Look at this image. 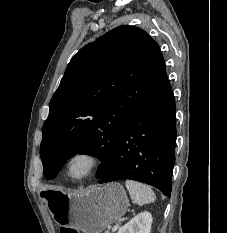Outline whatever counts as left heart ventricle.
I'll use <instances>...</instances> for the list:
<instances>
[{
  "mask_svg": "<svg viewBox=\"0 0 227 233\" xmlns=\"http://www.w3.org/2000/svg\"><path fill=\"white\" fill-rule=\"evenodd\" d=\"M88 161L84 158L76 159L71 167V172L74 176H80L86 172L88 169Z\"/></svg>",
  "mask_w": 227,
  "mask_h": 233,
  "instance_id": "left-heart-ventricle-1",
  "label": "left heart ventricle"
}]
</instances>
